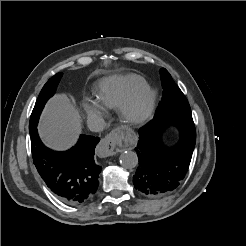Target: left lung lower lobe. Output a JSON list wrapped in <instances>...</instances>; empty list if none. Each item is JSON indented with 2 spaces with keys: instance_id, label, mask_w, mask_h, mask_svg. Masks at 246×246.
I'll use <instances>...</instances> for the list:
<instances>
[{
  "instance_id": "obj_1",
  "label": "left lung lower lobe",
  "mask_w": 246,
  "mask_h": 246,
  "mask_svg": "<svg viewBox=\"0 0 246 246\" xmlns=\"http://www.w3.org/2000/svg\"><path fill=\"white\" fill-rule=\"evenodd\" d=\"M174 125L180 138L173 147L162 143L164 130ZM196 142L192 117L154 118L139 130L135 148L139 166L133 176L135 188L149 197L168 194L181 182L188 170Z\"/></svg>"
}]
</instances>
